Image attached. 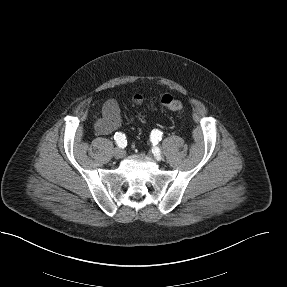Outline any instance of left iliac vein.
I'll return each instance as SVG.
<instances>
[{"label":"left iliac vein","instance_id":"4c4485c4","mask_svg":"<svg viewBox=\"0 0 287 287\" xmlns=\"http://www.w3.org/2000/svg\"><path fill=\"white\" fill-rule=\"evenodd\" d=\"M155 158L157 161H160L162 158H161V151L159 150V148L157 149V151L155 152Z\"/></svg>","mask_w":287,"mask_h":287}]
</instances>
